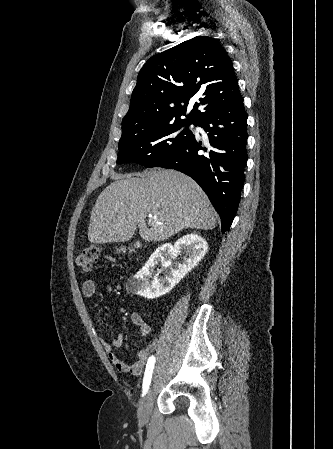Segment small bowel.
<instances>
[{"mask_svg": "<svg viewBox=\"0 0 333 449\" xmlns=\"http://www.w3.org/2000/svg\"><path fill=\"white\" fill-rule=\"evenodd\" d=\"M97 290V283L88 279L82 284V294L91 298L95 295ZM97 321L100 323V319L97 317ZM131 322L139 328V332L142 336H148L152 332L151 326L146 322L142 314L134 312L131 314ZM123 334H117L116 338L111 341L102 340V346L107 353L109 361L112 365L121 373H127L133 376H138L142 373L148 359L153 355L159 346V338L151 340L144 348L140 349L137 353V359L131 364H127L116 353L115 348L121 347L123 344Z\"/></svg>", "mask_w": 333, "mask_h": 449, "instance_id": "c3829d8e", "label": "small bowel"}]
</instances>
